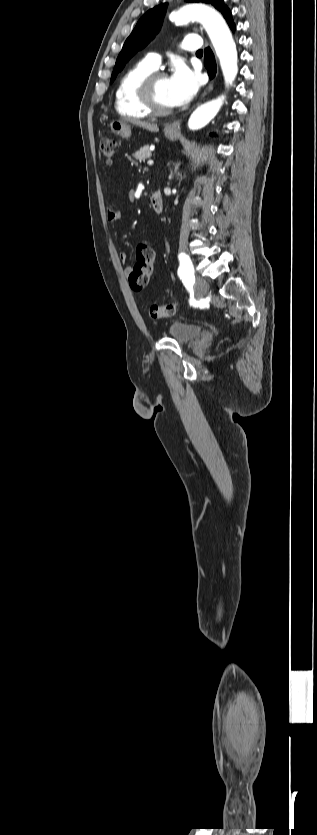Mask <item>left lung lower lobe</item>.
Segmentation results:
<instances>
[{"mask_svg":"<svg viewBox=\"0 0 317 835\" xmlns=\"http://www.w3.org/2000/svg\"><path fill=\"white\" fill-rule=\"evenodd\" d=\"M224 17H225L227 23L229 24L230 28L234 31L235 30V25L233 23L231 13L228 12L226 14V16H224ZM204 64H205V66L208 70V74H209L210 78H213L215 76V73H216V64H215V59H214L213 53L210 50V48L205 49Z\"/></svg>","mask_w":317,"mask_h":835,"instance_id":"0a47b994","label":"left lung lower lobe"}]
</instances>
